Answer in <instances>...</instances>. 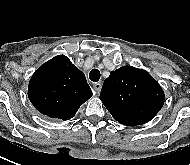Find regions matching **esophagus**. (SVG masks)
Returning <instances> with one entry per match:
<instances>
[{
  "label": "esophagus",
  "mask_w": 190,
  "mask_h": 165,
  "mask_svg": "<svg viewBox=\"0 0 190 165\" xmlns=\"http://www.w3.org/2000/svg\"><path fill=\"white\" fill-rule=\"evenodd\" d=\"M101 87H102L101 82H97V83H94V84H93V88H94V90H95V92H96L97 94L100 93Z\"/></svg>",
  "instance_id": "obj_1"
}]
</instances>
